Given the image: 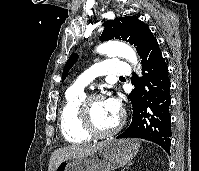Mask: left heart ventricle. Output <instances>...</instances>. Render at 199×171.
<instances>
[{
  "label": "left heart ventricle",
  "mask_w": 199,
  "mask_h": 171,
  "mask_svg": "<svg viewBox=\"0 0 199 171\" xmlns=\"http://www.w3.org/2000/svg\"><path fill=\"white\" fill-rule=\"evenodd\" d=\"M91 112L95 125L102 130L113 127L119 119V115H113L108 111L104 99L93 101L91 103Z\"/></svg>",
  "instance_id": "obj_1"
}]
</instances>
